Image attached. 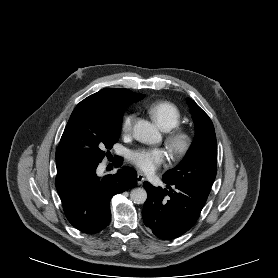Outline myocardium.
<instances>
[{
  "instance_id": "1",
  "label": "myocardium",
  "mask_w": 278,
  "mask_h": 278,
  "mask_svg": "<svg viewBox=\"0 0 278 278\" xmlns=\"http://www.w3.org/2000/svg\"><path fill=\"white\" fill-rule=\"evenodd\" d=\"M193 144L192 135L175 127L166 139V146L175 157H182L189 152Z\"/></svg>"
}]
</instances>
